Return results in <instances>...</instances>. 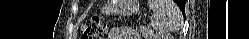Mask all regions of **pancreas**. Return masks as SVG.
Wrapping results in <instances>:
<instances>
[{
  "label": "pancreas",
  "instance_id": "cf45deb5",
  "mask_svg": "<svg viewBox=\"0 0 249 39\" xmlns=\"http://www.w3.org/2000/svg\"><path fill=\"white\" fill-rule=\"evenodd\" d=\"M141 33L143 36H149V29L145 27H140Z\"/></svg>",
  "mask_w": 249,
  "mask_h": 39
}]
</instances>
